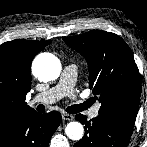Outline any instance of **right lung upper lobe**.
<instances>
[{"label":"right lung upper lobe","mask_w":147,"mask_h":147,"mask_svg":"<svg viewBox=\"0 0 147 147\" xmlns=\"http://www.w3.org/2000/svg\"><path fill=\"white\" fill-rule=\"evenodd\" d=\"M50 43L13 40L0 45V130L34 111L25 102L31 89V62Z\"/></svg>","instance_id":"cb5924a9"}]
</instances>
